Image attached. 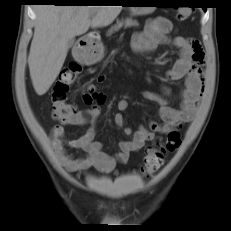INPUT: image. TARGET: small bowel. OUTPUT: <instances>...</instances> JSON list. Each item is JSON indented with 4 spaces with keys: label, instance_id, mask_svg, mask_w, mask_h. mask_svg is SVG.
<instances>
[{
    "label": "small bowel",
    "instance_id": "obj_1",
    "mask_svg": "<svg viewBox=\"0 0 231 231\" xmlns=\"http://www.w3.org/2000/svg\"><path fill=\"white\" fill-rule=\"evenodd\" d=\"M173 24L166 18L151 20L141 32L132 37V47L137 54H147L156 49L159 44L171 42L180 51L179 59L167 75L171 80H184L181 92V103L178 109L171 107L168 101L155 93L146 92L145 98L161 105L159 115L162 123L151 122L149 129L140 127L133 131L126 127L123 112L128 108L126 99H120L117 104L118 112L114 116L117 126L123 128L130 140L119 143V152L111 156L103 151L102 143L96 140V123L101 113L100 106L105 101L104 94L97 91L93 83H88L83 94L84 102L89 105L86 111H78L66 123L71 126L89 124L88 130L80 137L69 139L65 136L62 126L56 125L51 130L50 140L56 157L69 172H82L89 168H97L109 172L118 163L125 164L133 152L143 148L145 142L154 138L155 134H166L175 131L189 122L195 115L202 94L204 52L199 41L177 36L170 40L169 34ZM99 82L104 76H99ZM166 92H168L166 90ZM67 147L82 150V157H75L67 151Z\"/></svg>",
    "mask_w": 231,
    "mask_h": 231
}]
</instances>
